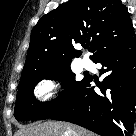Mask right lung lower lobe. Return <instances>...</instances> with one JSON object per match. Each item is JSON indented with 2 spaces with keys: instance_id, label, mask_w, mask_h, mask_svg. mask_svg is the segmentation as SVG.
<instances>
[{
  "instance_id": "right-lung-lower-lobe-1",
  "label": "right lung lower lobe",
  "mask_w": 136,
  "mask_h": 136,
  "mask_svg": "<svg viewBox=\"0 0 136 136\" xmlns=\"http://www.w3.org/2000/svg\"><path fill=\"white\" fill-rule=\"evenodd\" d=\"M104 68L101 93L87 76L67 103L51 115L53 120L71 122L101 136H132L136 120V35L106 48L94 59Z\"/></svg>"
}]
</instances>
